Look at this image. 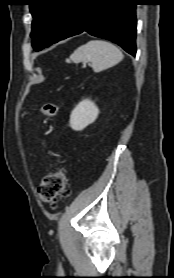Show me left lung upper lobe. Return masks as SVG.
Wrapping results in <instances>:
<instances>
[{
    "label": "left lung upper lobe",
    "instance_id": "1",
    "mask_svg": "<svg viewBox=\"0 0 174 278\" xmlns=\"http://www.w3.org/2000/svg\"><path fill=\"white\" fill-rule=\"evenodd\" d=\"M33 16L31 36H40L43 41H33L36 51L55 43L60 32L73 14L77 0H31Z\"/></svg>",
    "mask_w": 174,
    "mask_h": 278
}]
</instances>
